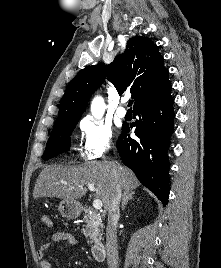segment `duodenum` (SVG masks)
<instances>
[{"mask_svg": "<svg viewBox=\"0 0 221 268\" xmlns=\"http://www.w3.org/2000/svg\"><path fill=\"white\" fill-rule=\"evenodd\" d=\"M91 255L95 261H103L106 257V248L103 242H96L91 247Z\"/></svg>", "mask_w": 221, "mask_h": 268, "instance_id": "obj_1", "label": "duodenum"}]
</instances>
